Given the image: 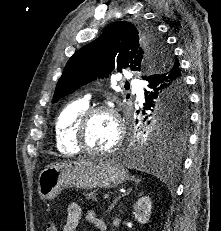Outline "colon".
Masks as SVG:
<instances>
[{"label": "colon", "mask_w": 221, "mask_h": 231, "mask_svg": "<svg viewBox=\"0 0 221 231\" xmlns=\"http://www.w3.org/2000/svg\"><path fill=\"white\" fill-rule=\"evenodd\" d=\"M46 231H58V226L55 222H49L46 226Z\"/></svg>", "instance_id": "colon-1"}]
</instances>
